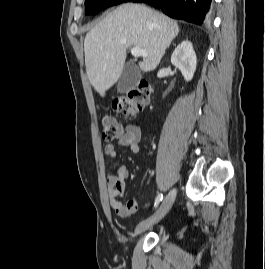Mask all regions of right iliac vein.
<instances>
[{"instance_id": "63e3f726", "label": "right iliac vein", "mask_w": 265, "mask_h": 269, "mask_svg": "<svg viewBox=\"0 0 265 269\" xmlns=\"http://www.w3.org/2000/svg\"><path fill=\"white\" fill-rule=\"evenodd\" d=\"M176 197V189L170 190L157 211L148 219L142 221L135 229V235H138L158 223L170 210Z\"/></svg>"}]
</instances>
